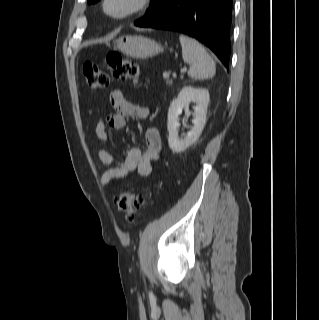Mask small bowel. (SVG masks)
<instances>
[{"instance_id": "1", "label": "small bowel", "mask_w": 319, "mask_h": 320, "mask_svg": "<svg viewBox=\"0 0 319 320\" xmlns=\"http://www.w3.org/2000/svg\"><path fill=\"white\" fill-rule=\"evenodd\" d=\"M109 101L114 109L113 113L106 116L105 121L95 125V134L101 141L110 140L111 129H122L127 118L146 119L151 110L148 106L129 103L123 93L115 89L110 93ZM161 150V136L158 129L151 127L145 132V146L143 149L131 148L123 160L108 150H98L96 159L107 168L100 170L99 180L102 186H107L111 181L125 178L132 171H137L142 177H147L152 172V163L158 159Z\"/></svg>"}]
</instances>
